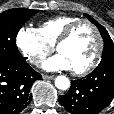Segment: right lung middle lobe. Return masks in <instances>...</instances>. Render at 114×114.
I'll return each instance as SVG.
<instances>
[{
  "label": "right lung middle lobe",
  "mask_w": 114,
  "mask_h": 114,
  "mask_svg": "<svg viewBox=\"0 0 114 114\" xmlns=\"http://www.w3.org/2000/svg\"><path fill=\"white\" fill-rule=\"evenodd\" d=\"M37 10L15 8L0 14V60L18 61L24 59L16 46L20 28Z\"/></svg>",
  "instance_id": "obj_1"
}]
</instances>
